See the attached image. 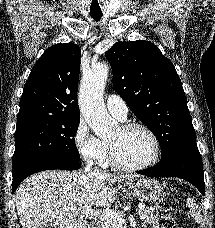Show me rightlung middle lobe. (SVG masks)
Segmentation results:
<instances>
[{
    "instance_id": "right-lung-middle-lobe-1",
    "label": "right lung middle lobe",
    "mask_w": 215,
    "mask_h": 228,
    "mask_svg": "<svg viewBox=\"0 0 215 228\" xmlns=\"http://www.w3.org/2000/svg\"><path fill=\"white\" fill-rule=\"evenodd\" d=\"M79 122L80 119H58L17 125L12 166L43 157L79 161L74 139Z\"/></svg>"
}]
</instances>
